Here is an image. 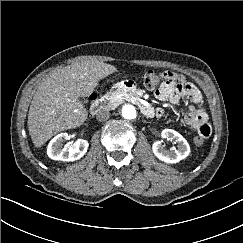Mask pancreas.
<instances>
[{
  "label": "pancreas",
  "instance_id": "pancreas-1",
  "mask_svg": "<svg viewBox=\"0 0 243 243\" xmlns=\"http://www.w3.org/2000/svg\"><path fill=\"white\" fill-rule=\"evenodd\" d=\"M104 97L108 101L107 106L109 108H114L118 106L123 100L129 99L130 95L126 96L120 92H110L107 93Z\"/></svg>",
  "mask_w": 243,
  "mask_h": 243
}]
</instances>
